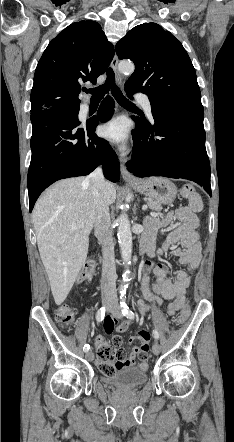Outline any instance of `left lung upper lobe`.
<instances>
[{
    "label": "left lung upper lobe",
    "instance_id": "5c2ea615",
    "mask_svg": "<svg viewBox=\"0 0 234 442\" xmlns=\"http://www.w3.org/2000/svg\"><path fill=\"white\" fill-rule=\"evenodd\" d=\"M119 59H131L135 71L125 88L148 95L152 106L200 101L196 72L182 44L156 23L130 30L117 44Z\"/></svg>",
    "mask_w": 234,
    "mask_h": 442
}]
</instances>
